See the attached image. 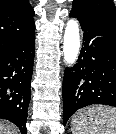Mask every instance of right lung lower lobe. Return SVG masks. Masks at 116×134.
I'll list each match as a JSON object with an SVG mask.
<instances>
[{"label":"right lung lower lobe","instance_id":"1","mask_svg":"<svg viewBox=\"0 0 116 134\" xmlns=\"http://www.w3.org/2000/svg\"><path fill=\"white\" fill-rule=\"evenodd\" d=\"M35 33L0 54V118L27 133L26 119L31 97Z\"/></svg>","mask_w":116,"mask_h":134}]
</instances>
